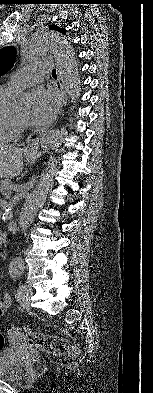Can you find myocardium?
Listing matches in <instances>:
<instances>
[{
    "instance_id": "myocardium-1",
    "label": "myocardium",
    "mask_w": 153,
    "mask_h": 393,
    "mask_svg": "<svg viewBox=\"0 0 153 393\" xmlns=\"http://www.w3.org/2000/svg\"><path fill=\"white\" fill-rule=\"evenodd\" d=\"M14 119L16 124L22 129L27 126V121L21 120L18 116L14 114Z\"/></svg>"
}]
</instances>
